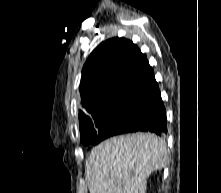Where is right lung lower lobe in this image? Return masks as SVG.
Segmentation results:
<instances>
[{
	"instance_id": "1",
	"label": "right lung lower lobe",
	"mask_w": 221,
	"mask_h": 193,
	"mask_svg": "<svg viewBox=\"0 0 221 193\" xmlns=\"http://www.w3.org/2000/svg\"><path fill=\"white\" fill-rule=\"evenodd\" d=\"M149 102V111L139 121L120 134L143 131L164 136L167 133L166 111L160 96L159 88Z\"/></svg>"
}]
</instances>
